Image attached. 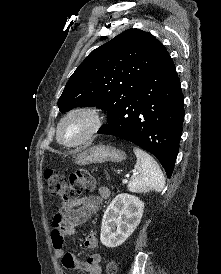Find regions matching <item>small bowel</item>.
Listing matches in <instances>:
<instances>
[{"label": "small bowel", "mask_w": 221, "mask_h": 274, "mask_svg": "<svg viewBox=\"0 0 221 274\" xmlns=\"http://www.w3.org/2000/svg\"><path fill=\"white\" fill-rule=\"evenodd\" d=\"M111 192L103 187L99 196H84L72 202H64L57 210L52 221L51 241L54 254L61 259L62 266L67 270H81L87 274H101V255L93 253L85 261H80L76 256L64 250V239L75 233L76 227L85 223L98 211L103 201L110 198ZM84 246L93 250L98 246L97 235L90 233L84 239Z\"/></svg>", "instance_id": "obj_1"}]
</instances>
